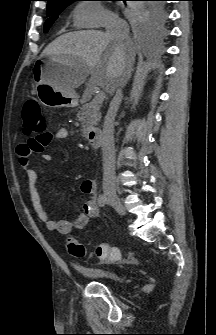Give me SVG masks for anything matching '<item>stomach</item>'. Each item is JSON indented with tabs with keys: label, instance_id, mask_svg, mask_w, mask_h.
<instances>
[{
	"label": "stomach",
	"instance_id": "obj_1",
	"mask_svg": "<svg viewBox=\"0 0 216 335\" xmlns=\"http://www.w3.org/2000/svg\"><path fill=\"white\" fill-rule=\"evenodd\" d=\"M73 59L60 60L48 56L40 58L33 67L36 91L40 102L50 108H70L78 105V96L74 91H65V74L70 70Z\"/></svg>",
	"mask_w": 216,
	"mask_h": 335
}]
</instances>
